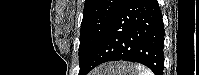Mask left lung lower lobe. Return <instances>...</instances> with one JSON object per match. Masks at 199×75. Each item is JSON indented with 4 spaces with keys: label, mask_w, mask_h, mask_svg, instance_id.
<instances>
[{
    "label": "left lung lower lobe",
    "mask_w": 199,
    "mask_h": 75,
    "mask_svg": "<svg viewBox=\"0 0 199 75\" xmlns=\"http://www.w3.org/2000/svg\"><path fill=\"white\" fill-rule=\"evenodd\" d=\"M164 25L157 0H123L97 48L86 75L109 61H132L163 75Z\"/></svg>",
    "instance_id": "1"
}]
</instances>
